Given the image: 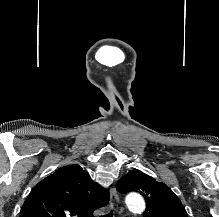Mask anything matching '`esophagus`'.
<instances>
[{
  "label": "esophagus",
  "instance_id": "34e87169",
  "mask_svg": "<svg viewBox=\"0 0 219 217\" xmlns=\"http://www.w3.org/2000/svg\"><path fill=\"white\" fill-rule=\"evenodd\" d=\"M119 203V196L117 194V191L115 187H112L110 189V206L115 207Z\"/></svg>",
  "mask_w": 219,
  "mask_h": 217
}]
</instances>
